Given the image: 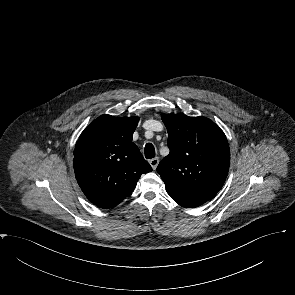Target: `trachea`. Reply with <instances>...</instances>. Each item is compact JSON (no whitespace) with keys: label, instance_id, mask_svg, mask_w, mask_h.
<instances>
[{"label":"trachea","instance_id":"trachea-1","mask_svg":"<svg viewBox=\"0 0 295 295\" xmlns=\"http://www.w3.org/2000/svg\"><path fill=\"white\" fill-rule=\"evenodd\" d=\"M145 157L151 159L155 157V148L151 143L145 145Z\"/></svg>","mask_w":295,"mask_h":295}]
</instances>
